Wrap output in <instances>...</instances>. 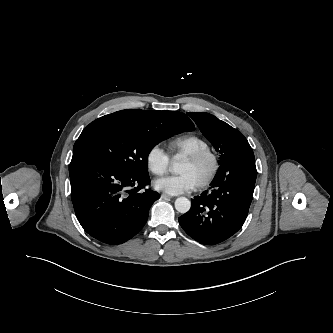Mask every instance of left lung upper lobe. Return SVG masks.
<instances>
[{"mask_svg":"<svg viewBox=\"0 0 333 333\" xmlns=\"http://www.w3.org/2000/svg\"><path fill=\"white\" fill-rule=\"evenodd\" d=\"M187 114L195 121L215 149L221 153L220 164L238 150L250 146L247 139L237 129L217 117L205 112Z\"/></svg>","mask_w":333,"mask_h":333,"instance_id":"1","label":"left lung upper lobe"}]
</instances>
